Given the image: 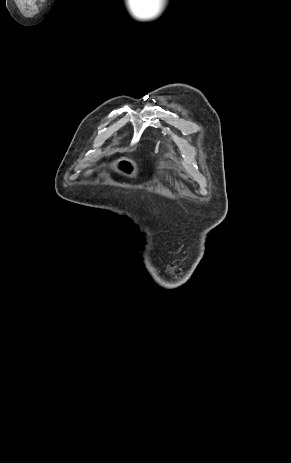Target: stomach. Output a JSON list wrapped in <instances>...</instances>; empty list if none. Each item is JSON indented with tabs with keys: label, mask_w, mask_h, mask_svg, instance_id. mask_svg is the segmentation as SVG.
Wrapping results in <instances>:
<instances>
[{
	"label": "stomach",
	"mask_w": 291,
	"mask_h": 463,
	"mask_svg": "<svg viewBox=\"0 0 291 463\" xmlns=\"http://www.w3.org/2000/svg\"><path fill=\"white\" fill-rule=\"evenodd\" d=\"M117 165L126 176L132 177L137 172L136 164L130 160L122 159ZM110 169H115V164H110Z\"/></svg>",
	"instance_id": "0dacf381"
}]
</instances>
